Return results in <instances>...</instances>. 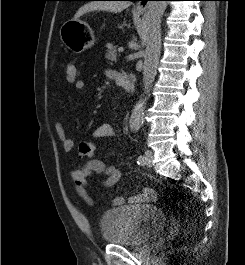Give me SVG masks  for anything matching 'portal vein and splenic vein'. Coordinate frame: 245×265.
I'll return each mask as SVG.
<instances>
[{
    "mask_svg": "<svg viewBox=\"0 0 245 265\" xmlns=\"http://www.w3.org/2000/svg\"><path fill=\"white\" fill-rule=\"evenodd\" d=\"M123 51H124V48H123V47L118 48V52H119V53H121V52H123Z\"/></svg>",
    "mask_w": 245,
    "mask_h": 265,
    "instance_id": "obj_1",
    "label": "portal vein and splenic vein"
}]
</instances>
